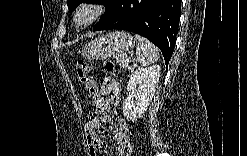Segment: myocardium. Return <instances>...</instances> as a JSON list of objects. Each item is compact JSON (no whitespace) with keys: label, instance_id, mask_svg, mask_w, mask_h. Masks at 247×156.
Listing matches in <instances>:
<instances>
[{"label":"myocardium","instance_id":"f54148a6","mask_svg":"<svg viewBox=\"0 0 247 156\" xmlns=\"http://www.w3.org/2000/svg\"><path fill=\"white\" fill-rule=\"evenodd\" d=\"M104 12V8L97 2H84L79 5L73 14V23L76 27H87L101 17ZM88 13V17L81 21L82 14Z\"/></svg>","mask_w":247,"mask_h":156}]
</instances>
